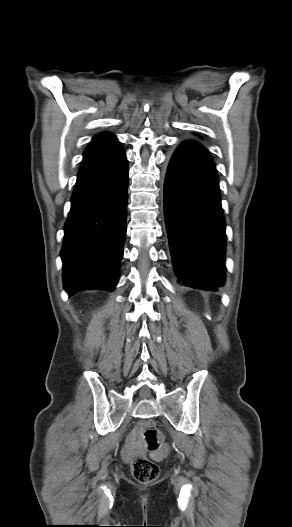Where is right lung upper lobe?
<instances>
[{"instance_id": "obj_1", "label": "right lung upper lobe", "mask_w": 292, "mask_h": 527, "mask_svg": "<svg viewBox=\"0 0 292 527\" xmlns=\"http://www.w3.org/2000/svg\"><path fill=\"white\" fill-rule=\"evenodd\" d=\"M112 140H115V138H114V136L112 134L103 133V134H98L97 136H95L93 138L92 142L112 141Z\"/></svg>"}]
</instances>
